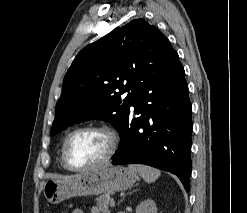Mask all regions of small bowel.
Listing matches in <instances>:
<instances>
[{
  "instance_id": "small-bowel-1",
  "label": "small bowel",
  "mask_w": 247,
  "mask_h": 213,
  "mask_svg": "<svg viewBox=\"0 0 247 213\" xmlns=\"http://www.w3.org/2000/svg\"><path fill=\"white\" fill-rule=\"evenodd\" d=\"M72 213H83V211H82L81 209H79V208H76V209H74V210L72 211ZM91 213H100V211L97 210L96 208H93V209L91 210Z\"/></svg>"
}]
</instances>
